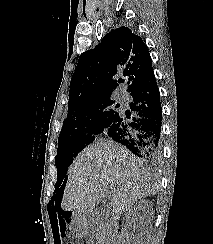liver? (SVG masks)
<instances>
[{"label": "liver", "mask_w": 213, "mask_h": 244, "mask_svg": "<svg viewBox=\"0 0 213 244\" xmlns=\"http://www.w3.org/2000/svg\"><path fill=\"white\" fill-rule=\"evenodd\" d=\"M158 187L157 176L128 150L112 142H98L85 148L70 167L62 209L84 218L93 212L100 191L106 190L118 219L138 199L155 195Z\"/></svg>", "instance_id": "liver-1"}]
</instances>
